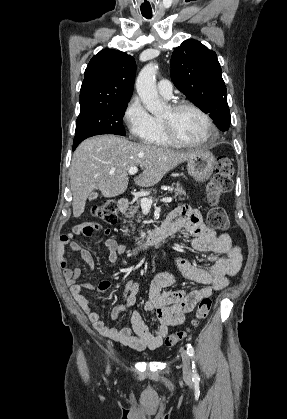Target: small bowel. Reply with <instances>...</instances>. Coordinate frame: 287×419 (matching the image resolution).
<instances>
[{"label": "small bowel", "mask_w": 287, "mask_h": 419, "mask_svg": "<svg viewBox=\"0 0 287 419\" xmlns=\"http://www.w3.org/2000/svg\"><path fill=\"white\" fill-rule=\"evenodd\" d=\"M164 224L172 227L174 231L186 229L192 235L193 249L198 252L210 253L208 260L212 265L209 269H203L190 264L184 258L180 257L176 260L182 276L202 284L203 287L200 289L163 292V288L176 283L178 276L174 273L163 272L153 278L144 310L151 313L159 322V327L155 332L149 330L137 311L132 312L130 316L131 327L116 329L105 325L100 320L83 290H96L99 294H104L112 286V281L103 280L97 286L90 282L76 283L81 275V269L78 267L68 268L66 250L78 252L81 259L93 267L94 261L90 252L75 241V236L79 234L91 235L98 228L97 225L82 223L74 226L71 232L60 236L56 249L57 261L63 271L66 283L94 328L103 336L138 351L146 348H159L166 338L169 328L183 323L186 314L191 312L202 299L210 297L214 291L224 289L228 285V276L236 275L242 264L241 249L233 245L227 233L216 235L209 229L204 224L198 210L188 206L177 207ZM102 245L109 252L108 260L111 264H115L118 257L126 253V246L118 243L114 237L104 240ZM137 292L138 284L129 281L122 295V302L112 311L113 319H117L128 307L135 304Z\"/></svg>", "instance_id": "small-bowel-1"}]
</instances>
